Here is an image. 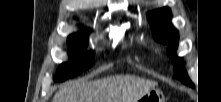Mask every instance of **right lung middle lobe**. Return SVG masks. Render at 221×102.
Instances as JSON below:
<instances>
[{"mask_svg": "<svg viewBox=\"0 0 221 102\" xmlns=\"http://www.w3.org/2000/svg\"><path fill=\"white\" fill-rule=\"evenodd\" d=\"M87 31L75 33L68 37L70 62L63 63L57 71L56 79L60 82L75 77L94 64V53L85 52L88 44Z\"/></svg>", "mask_w": 221, "mask_h": 102, "instance_id": "obj_1", "label": "right lung middle lobe"}]
</instances>
